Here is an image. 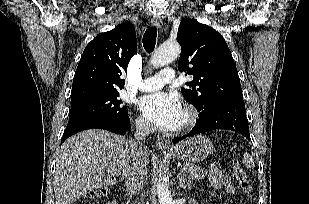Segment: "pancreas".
<instances>
[{
  "label": "pancreas",
  "instance_id": "pancreas-1",
  "mask_svg": "<svg viewBox=\"0 0 309 204\" xmlns=\"http://www.w3.org/2000/svg\"><path fill=\"white\" fill-rule=\"evenodd\" d=\"M184 172L190 179L200 180L207 175V171L199 166L192 163H187L184 166Z\"/></svg>",
  "mask_w": 309,
  "mask_h": 204
}]
</instances>
